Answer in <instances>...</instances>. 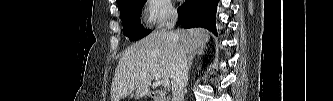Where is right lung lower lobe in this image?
<instances>
[{
    "instance_id": "1",
    "label": "right lung lower lobe",
    "mask_w": 333,
    "mask_h": 101,
    "mask_svg": "<svg viewBox=\"0 0 333 101\" xmlns=\"http://www.w3.org/2000/svg\"><path fill=\"white\" fill-rule=\"evenodd\" d=\"M219 0H186L178 9V21L185 28L203 27L216 34V9Z\"/></svg>"
}]
</instances>
